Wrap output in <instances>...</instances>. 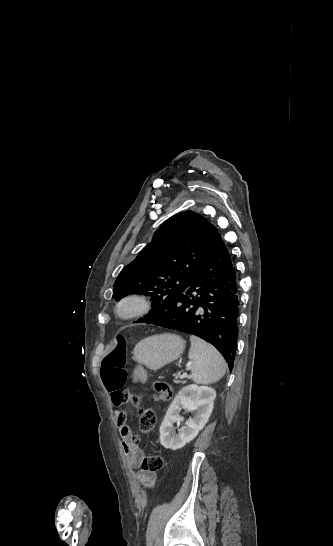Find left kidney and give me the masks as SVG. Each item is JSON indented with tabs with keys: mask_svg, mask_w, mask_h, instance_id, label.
Returning a JSON list of instances; mask_svg holds the SVG:
<instances>
[{
	"mask_svg": "<svg viewBox=\"0 0 333 546\" xmlns=\"http://www.w3.org/2000/svg\"><path fill=\"white\" fill-rule=\"evenodd\" d=\"M215 397V390L207 386L190 384L182 388L169 406L161 423V445L171 450H177L192 441L208 422ZM182 409L193 411L194 416L187 419L185 425L176 434L173 424H180L183 421V417L180 416Z\"/></svg>",
	"mask_w": 333,
	"mask_h": 546,
	"instance_id": "5707ae66",
	"label": "left kidney"
}]
</instances>
